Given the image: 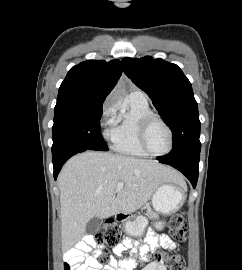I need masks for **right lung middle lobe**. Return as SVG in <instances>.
I'll return each instance as SVG.
<instances>
[{
  "mask_svg": "<svg viewBox=\"0 0 242 270\" xmlns=\"http://www.w3.org/2000/svg\"><path fill=\"white\" fill-rule=\"evenodd\" d=\"M102 105L63 106L54 109L52 156L81 149L107 151L100 132Z\"/></svg>",
  "mask_w": 242,
  "mask_h": 270,
  "instance_id": "obj_1",
  "label": "right lung middle lobe"
}]
</instances>
